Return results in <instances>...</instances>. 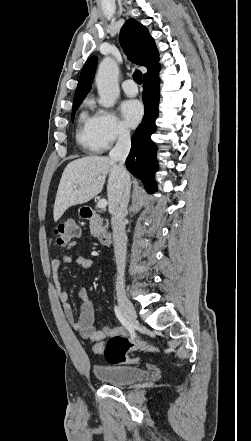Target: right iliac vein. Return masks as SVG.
<instances>
[{
  "label": "right iliac vein",
  "instance_id": "63e3f726",
  "mask_svg": "<svg viewBox=\"0 0 251 441\" xmlns=\"http://www.w3.org/2000/svg\"><path fill=\"white\" fill-rule=\"evenodd\" d=\"M118 302H119L120 309L122 310L124 316L129 321V323L133 327H137L138 320H137V315H136L135 309H134L132 303L126 297V295L123 293H120L118 295Z\"/></svg>",
  "mask_w": 251,
  "mask_h": 441
}]
</instances>
